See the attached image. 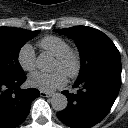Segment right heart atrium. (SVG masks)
Masks as SVG:
<instances>
[{"label":"right heart atrium","mask_w":128,"mask_h":128,"mask_svg":"<svg viewBox=\"0 0 128 128\" xmlns=\"http://www.w3.org/2000/svg\"><path fill=\"white\" fill-rule=\"evenodd\" d=\"M18 62L25 71H33L36 68V55L30 44H24L18 52Z\"/></svg>","instance_id":"d8ad5b80"}]
</instances>
